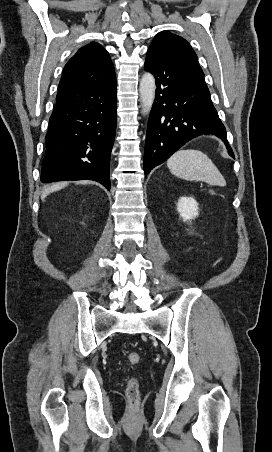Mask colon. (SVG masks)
<instances>
[{
	"label": "colon",
	"mask_w": 272,
	"mask_h": 452,
	"mask_svg": "<svg viewBox=\"0 0 272 452\" xmlns=\"http://www.w3.org/2000/svg\"><path fill=\"white\" fill-rule=\"evenodd\" d=\"M141 361V356L138 352H131L127 356V362L129 365H137ZM126 396L131 404L135 405L139 402V382L136 378H131L128 381L126 388Z\"/></svg>",
	"instance_id": "5ec220e1"
}]
</instances>
